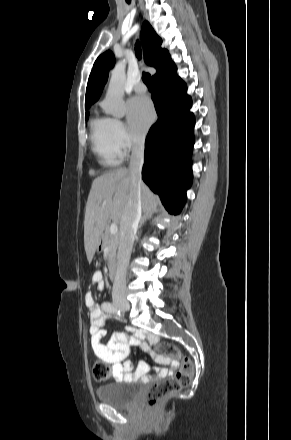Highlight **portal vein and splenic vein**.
I'll list each match as a JSON object with an SVG mask.
<instances>
[{
    "instance_id": "18ae733b",
    "label": "portal vein and splenic vein",
    "mask_w": 291,
    "mask_h": 440,
    "mask_svg": "<svg viewBox=\"0 0 291 440\" xmlns=\"http://www.w3.org/2000/svg\"><path fill=\"white\" fill-rule=\"evenodd\" d=\"M118 232V226L116 223H112L110 225V233L111 234H116Z\"/></svg>"
}]
</instances>
